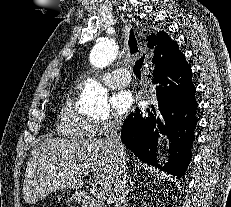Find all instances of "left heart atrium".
<instances>
[{
	"mask_svg": "<svg viewBox=\"0 0 231 207\" xmlns=\"http://www.w3.org/2000/svg\"><path fill=\"white\" fill-rule=\"evenodd\" d=\"M134 97L129 90H120L111 97V106L116 114L126 113L133 105Z\"/></svg>",
	"mask_w": 231,
	"mask_h": 207,
	"instance_id": "1",
	"label": "left heart atrium"
}]
</instances>
